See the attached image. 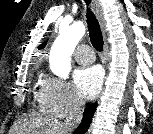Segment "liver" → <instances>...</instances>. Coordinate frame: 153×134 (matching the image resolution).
<instances>
[{
	"label": "liver",
	"instance_id": "1",
	"mask_svg": "<svg viewBox=\"0 0 153 134\" xmlns=\"http://www.w3.org/2000/svg\"><path fill=\"white\" fill-rule=\"evenodd\" d=\"M25 130L26 132H46L47 134H64L63 124L57 120L49 118L44 115H29V120L21 125L16 126V132L21 134Z\"/></svg>",
	"mask_w": 153,
	"mask_h": 134
}]
</instances>
